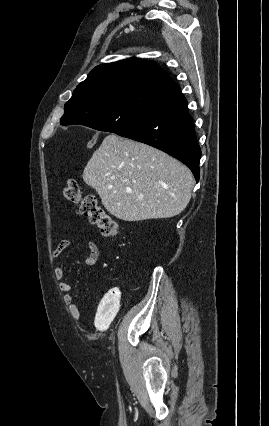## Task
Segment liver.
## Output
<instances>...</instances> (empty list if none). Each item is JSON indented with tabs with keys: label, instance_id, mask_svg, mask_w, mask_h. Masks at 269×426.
Listing matches in <instances>:
<instances>
[{
	"label": "liver",
	"instance_id": "6515ba94",
	"mask_svg": "<svg viewBox=\"0 0 269 426\" xmlns=\"http://www.w3.org/2000/svg\"><path fill=\"white\" fill-rule=\"evenodd\" d=\"M105 209L118 219L171 218L188 205L194 179L175 158L147 144L107 135L83 171Z\"/></svg>",
	"mask_w": 269,
	"mask_h": 426
}]
</instances>
